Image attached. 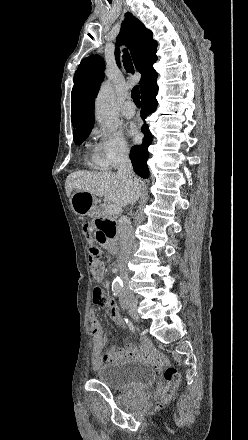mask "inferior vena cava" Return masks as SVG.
I'll list each match as a JSON object with an SVG mask.
<instances>
[{"label":"inferior vena cava","instance_id":"1","mask_svg":"<svg viewBox=\"0 0 248 440\" xmlns=\"http://www.w3.org/2000/svg\"><path fill=\"white\" fill-rule=\"evenodd\" d=\"M117 174L121 176H126L131 180L138 182V179L134 176L133 173V167L129 158L128 151H123L120 154ZM120 232V254L118 264L122 279L126 281L128 279L127 262L135 243L134 230L131 222L128 220L124 221V223L120 227Z\"/></svg>","mask_w":248,"mask_h":440}]
</instances>
